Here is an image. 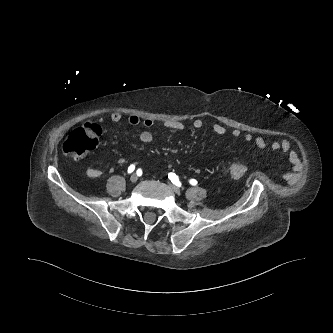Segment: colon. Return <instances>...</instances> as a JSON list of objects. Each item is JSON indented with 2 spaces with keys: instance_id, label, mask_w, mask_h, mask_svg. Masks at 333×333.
<instances>
[{
  "instance_id": "5ec220e1",
  "label": "colon",
  "mask_w": 333,
  "mask_h": 333,
  "mask_svg": "<svg viewBox=\"0 0 333 333\" xmlns=\"http://www.w3.org/2000/svg\"><path fill=\"white\" fill-rule=\"evenodd\" d=\"M101 133L102 128L98 123L86 122L69 134L62 145V150L70 157H82L96 148ZM246 172L247 167L240 161H234L228 166V174L232 178L239 179Z\"/></svg>"
}]
</instances>
